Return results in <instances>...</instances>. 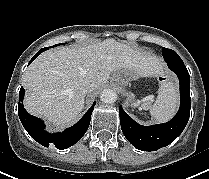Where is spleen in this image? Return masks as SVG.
<instances>
[{
	"mask_svg": "<svg viewBox=\"0 0 209 179\" xmlns=\"http://www.w3.org/2000/svg\"><path fill=\"white\" fill-rule=\"evenodd\" d=\"M177 86L173 82H164L159 86L158 95L150 107V114L157 122L170 120L178 107Z\"/></svg>",
	"mask_w": 209,
	"mask_h": 179,
	"instance_id": "spleen-1",
	"label": "spleen"
}]
</instances>
